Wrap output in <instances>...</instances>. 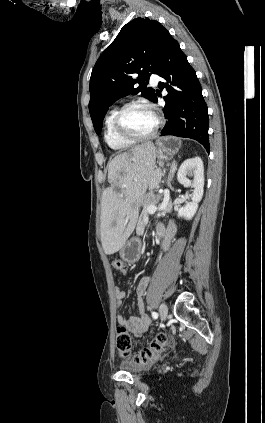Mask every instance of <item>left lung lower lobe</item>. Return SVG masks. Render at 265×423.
<instances>
[{
    "label": "left lung lower lobe",
    "mask_w": 265,
    "mask_h": 423,
    "mask_svg": "<svg viewBox=\"0 0 265 423\" xmlns=\"http://www.w3.org/2000/svg\"><path fill=\"white\" fill-rule=\"evenodd\" d=\"M157 75L161 89L166 88L163 109L168 119L160 136L173 135L195 139L209 152L207 105L196 72L187 61L178 42L171 36L163 54ZM157 102V94L154 97Z\"/></svg>",
    "instance_id": "left-lung-lower-lobe-1"
}]
</instances>
